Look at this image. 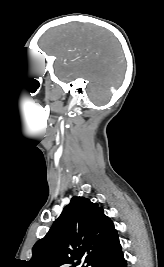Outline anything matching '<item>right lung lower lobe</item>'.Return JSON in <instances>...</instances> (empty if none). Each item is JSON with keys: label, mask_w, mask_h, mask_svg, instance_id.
<instances>
[{"label": "right lung lower lobe", "mask_w": 164, "mask_h": 267, "mask_svg": "<svg viewBox=\"0 0 164 267\" xmlns=\"http://www.w3.org/2000/svg\"><path fill=\"white\" fill-rule=\"evenodd\" d=\"M93 267H127L121 248L99 259Z\"/></svg>", "instance_id": "obj_1"}]
</instances>
